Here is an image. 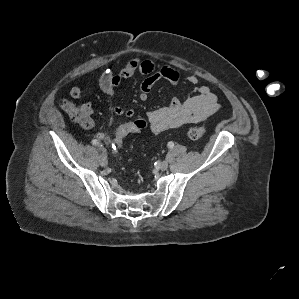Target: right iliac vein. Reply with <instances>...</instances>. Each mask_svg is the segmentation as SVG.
I'll return each instance as SVG.
<instances>
[{
  "label": "right iliac vein",
  "mask_w": 299,
  "mask_h": 299,
  "mask_svg": "<svg viewBox=\"0 0 299 299\" xmlns=\"http://www.w3.org/2000/svg\"><path fill=\"white\" fill-rule=\"evenodd\" d=\"M99 149L100 150H103V147L102 145L99 146ZM99 163L100 165L102 166H106L108 164V160H107V157L104 153H102L100 156H99Z\"/></svg>",
  "instance_id": "63e3f726"
}]
</instances>
